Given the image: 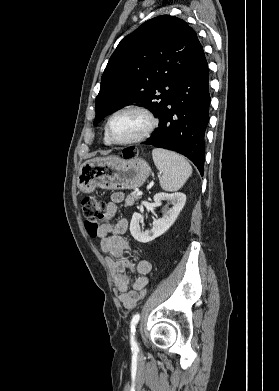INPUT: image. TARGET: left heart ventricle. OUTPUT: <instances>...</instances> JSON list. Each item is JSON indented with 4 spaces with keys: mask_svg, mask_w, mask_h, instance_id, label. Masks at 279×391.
I'll list each match as a JSON object with an SVG mask.
<instances>
[{
    "mask_svg": "<svg viewBox=\"0 0 279 391\" xmlns=\"http://www.w3.org/2000/svg\"><path fill=\"white\" fill-rule=\"evenodd\" d=\"M147 126L146 118L135 111L116 115L110 124V136L117 141L128 140L141 133Z\"/></svg>",
    "mask_w": 279,
    "mask_h": 391,
    "instance_id": "left-heart-ventricle-1",
    "label": "left heart ventricle"
}]
</instances>
